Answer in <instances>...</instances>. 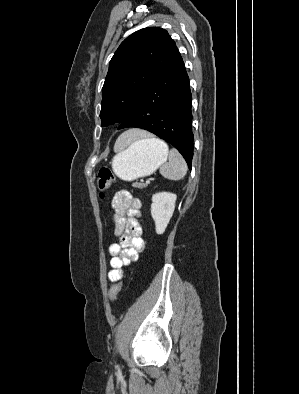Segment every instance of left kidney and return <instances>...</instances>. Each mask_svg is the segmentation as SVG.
Returning a JSON list of instances; mask_svg holds the SVG:
<instances>
[{"mask_svg":"<svg viewBox=\"0 0 299 394\" xmlns=\"http://www.w3.org/2000/svg\"><path fill=\"white\" fill-rule=\"evenodd\" d=\"M177 196L173 193L160 192L152 196L151 215L156 225V233L161 235L173 215Z\"/></svg>","mask_w":299,"mask_h":394,"instance_id":"5707ae66","label":"left kidney"}]
</instances>
